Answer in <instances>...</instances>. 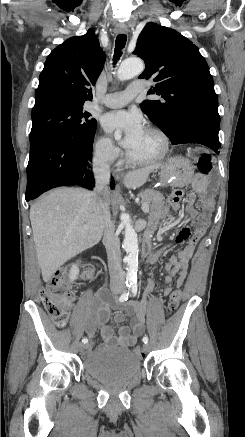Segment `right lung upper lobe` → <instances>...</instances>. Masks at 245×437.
Masks as SVG:
<instances>
[{"label": "right lung upper lobe", "instance_id": "1", "mask_svg": "<svg viewBox=\"0 0 245 437\" xmlns=\"http://www.w3.org/2000/svg\"><path fill=\"white\" fill-rule=\"evenodd\" d=\"M105 54L94 30L66 40L47 57L35 91V106L50 102L83 105L92 100Z\"/></svg>", "mask_w": 245, "mask_h": 437}]
</instances>
